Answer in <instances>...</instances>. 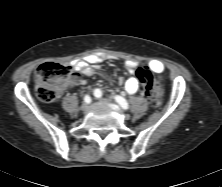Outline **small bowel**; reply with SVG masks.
<instances>
[{
  "instance_id": "c3829d8e",
  "label": "small bowel",
  "mask_w": 222,
  "mask_h": 187,
  "mask_svg": "<svg viewBox=\"0 0 222 187\" xmlns=\"http://www.w3.org/2000/svg\"><path fill=\"white\" fill-rule=\"evenodd\" d=\"M107 56L104 54H91L86 56L82 60H75L72 62V66L79 72L91 76L96 73L97 65L106 60ZM125 66L129 72L132 73V76L125 83V90L128 94H135L139 89V81L137 76L134 73V70L137 66V63L134 60H128L125 63ZM148 69L154 73H161L164 71V65L158 60H153L148 63ZM76 83L84 85V82L81 80H76Z\"/></svg>"
}]
</instances>
